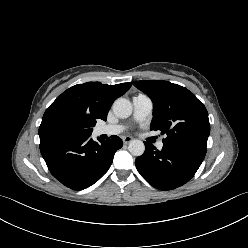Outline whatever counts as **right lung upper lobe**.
<instances>
[{
    "instance_id": "right-lung-upper-lobe-1",
    "label": "right lung upper lobe",
    "mask_w": 248,
    "mask_h": 248,
    "mask_svg": "<svg viewBox=\"0 0 248 248\" xmlns=\"http://www.w3.org/2000/svg\"><path fill=\"white\" fill-rule=\"evenodd\" d=\"M131 85L130 82L117 85L100 82L77 84L57 97L44 115L64 111L75 114L95 125L98 119L107 120L112 103L122 96Z\"/></svg>"
}]
</instances>
